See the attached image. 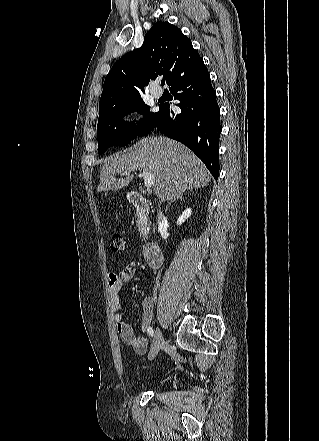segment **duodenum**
Returning a JSON list of instances; mask_svg holds the SVG:
<instances>
[{"label":"duodenum","instance_id":"obj_1","mask_svg":"<svg viewBox=\"0 0 319 441\" xmlns=\"http://www.w3.org/2000/svg\"><path fill=\"white\" fill-rule=\"evenodd\" d=\"M128 200L135 208L140 211H149L150 202L138 192H131ZM143 256L146 262L153 268H159L163 264V253L155 244H146L143 248Z\"/></svg>","mask_w":319,"mask_h":441}]
</instances>
